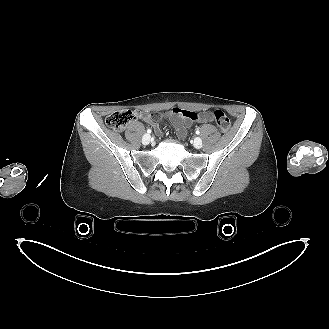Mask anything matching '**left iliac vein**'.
Returning a JSON list of instances; mask_svg holds the SVG:
<instances>
[{
    "instance_id": "left-iliac-vein-1",
    "label": "left iliac vein",
    "mask_w": 329,
    "mask_h": 329,
    "mask_svg": "<svg viewBox=\"0 0 329 329\" xmlns=\"http://www.w3.org/2000/svg\"><path fill=\"white\" fill-rule=\"evenodd\" d=\"M193 145L195 148L200 149L203 145V142L199 137H197L194 139Z\"/></svg>"
}]
</instances>
